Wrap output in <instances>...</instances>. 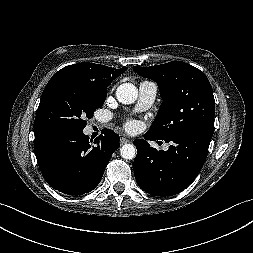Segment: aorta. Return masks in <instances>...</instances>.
<instances>
[{"mask_svg": "<svg viewBox=\"0 0 253 253\" xmlns=\"http://www.w3.org/2000/svg\"><path fill=\"white\" fill-rule=\"evenodd\" d=\"M117 100L122 104H132L138 97V89L131 83H123L116 90ZM121 157L133 159L136 156V148L132 144H125L120 148Z\"/></svg>", "mask_w": 253, "mask_h": 253, "instance_id": "1", "label": "aorta"}]
</instances>
